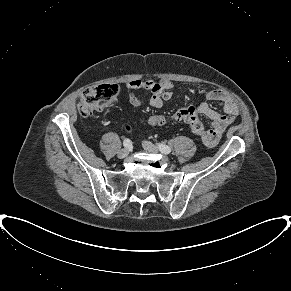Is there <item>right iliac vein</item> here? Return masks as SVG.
<instances>
[{
  "instance_id": "63e3f726",
  "label": "right iliac vein",
  "mask_w": 291,
  "mask_h": 291,
  "mask_svg": "<svg viewBox=\"0 0 291 291\" xmlns=\"http://www.w3.org/2000/svg\"><path fill=\"white\" fill-rule=\"evenodd\" d=\"M129 154V150L128 149H126V148H123V149H121L119 152H118V158H120V159H123V158H125L127 155Z\"/></svg>"
}]
</instances>
